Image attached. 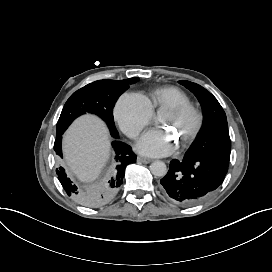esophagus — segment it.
Here are the masks:
<instances>
[{
    "label": "esophagus",
    "mask_w": 272,
    "mask_h": 272,
    "mask_svg": "<svg viewBox=\"0 0 272 272\" xmlns=\"http://www.w3.org/2000/svg\"><path fill=\"white\" fill-rule=\"evenodd\" d=\"M137 161L143 163V164H148L151 162V159L147 158V157H143V156H138L137 157Z\"/></svg>",
    "instance_id": "34e87169"
}]
</instances>
